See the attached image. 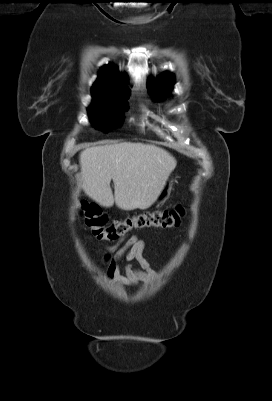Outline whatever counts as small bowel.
Listing matches in <instances>:
<instances>
[{
	"label": "small bowel",
	"instance_id": "1",
	"mask_svg": "<svg viewBox=\"0 0 272 401\" xmlns=\"http://www.w3.org/2000/svg\"><path fill=\"white\" fill-rule=\"evenodd\" d=\"M144 247V241L136 235L109 247L104 257L108 279L124 286H133L141 281L154 280L157 274L143 256ZM122 259L126 261L135 260L139 263L140 268L126 265L121 271L119 263Z\"/></svg>",
	"mask_w": 272,
	"mask_h": 401
}]
</instances>
